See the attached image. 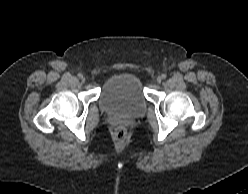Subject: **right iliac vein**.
Listing matches in <instances>:
<instances>
[{
    "mask_svg": "<svg viewBox=\"0 0 248 194\" xmlns=\"http://www.w3.org/2000/svg\"><path fill=\"white\" fill-rule=\"evenodd\" d=\"M82 81H85V78L84 77H81Z\"/></svg>",
    "mask_w": 248,
    "mask_h": 194,
    "instance_id": "63e3f726",
    "label": "right iliac vein"
}]
</instances>
